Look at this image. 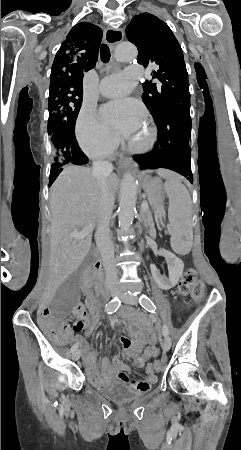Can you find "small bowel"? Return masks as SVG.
Masks as SVG:
<instances>
[{
  "mask_svg": "<svg viewBox=\"0 0 241 450\" xmlns=\"http://www.w3.org/2000/svg\"><path fill=\"white\" fill-rule=\"evenodd\" d=\"M87 303L90 306V319L76 320L73 330L76 332H83L76 337V343L84 351V360L86 364L87 373L92 380L94 386L103 389L114 382H118L121 387H129L139 392L149 391L154 384L157 383L158 378L155 374L154 366L148 363V360L155 358L159 350L157 348V339L154 332L151 331L150 324H137L136 329H132L128 325V335L120 338V345L123 350L133 358L134 364L138 368H144L146 377L142 380L132 379L127 374L128 366L123 361V353H119L112 360L103 358L101 361V369L97 370L95 367V355L88 349L87 337L91 329L94 327L96 321V305L98 302L92 297L89 290L92 289L91 283L85 284ZM39 310L37 311L38 319H49L50 311L47 307L46 301L40 302ZM51 323L48 320L41 322V327L45 329V334L48 340L56 344H61L64 341L63 336L68 335L70 330L68 328H49ZM77 327L83 328L82 331ZM57 334V335H55ZM63 335V336H61ZM143 352L141 353V351Z\"/></svg>",
  "mask_w": 241,
  "mask_h": 450,
  "instance_id": "small-bowel-1",
  "label": "small bowel"
}]
</instances>
